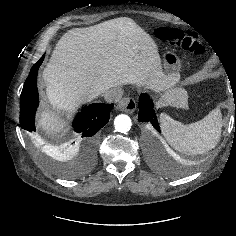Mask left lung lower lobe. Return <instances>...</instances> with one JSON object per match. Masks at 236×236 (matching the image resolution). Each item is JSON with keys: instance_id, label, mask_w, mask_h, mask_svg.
Here are the masks:
<instances>
[{"instance_id": "obj_1", "label": "left lung lower lobe", "mask_w": 236, "mask_h": 236, "mask_svg": "<svg viewBox=\"0 0 236 236\" xmlns=\"http://www.w3.org/2000/svg\"><path fill=\"white\" fill-rule=\"evenodd\" d=\"M153 107L154 105L152 99L146 93L141 94V96L139 97L138 120L140 122L152 124V126L158 132H160V127Z\"/></svg>"}]
</instances>
